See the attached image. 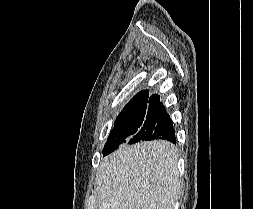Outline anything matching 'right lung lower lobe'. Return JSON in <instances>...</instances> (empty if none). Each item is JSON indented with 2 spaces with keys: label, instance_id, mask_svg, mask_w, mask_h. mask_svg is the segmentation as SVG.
Masks as SVG:
<instances>
[{
  "label": "right lung lower lobe",
  "instance_id": "1",
  "mask_svg": "<svg viewBox=\"0 0 253 209\" xmlns=\"http://www.w3.org/2000/svg\"><path fill=\"white\" fill-rule=\"evenodd\" d=\"M150 109L158 110L157 122L153 129L142 135V140L164 139L176 143L175 130L164 105L159 100Z\"/></svg>",
  "mask_w": 253,
  "mask_h": 209
}]
</instances>
